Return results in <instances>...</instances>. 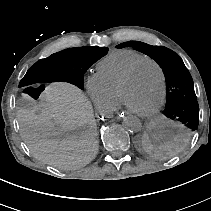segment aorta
<instances>
[{
  "instance_id": "1",
  "label": "aorta",
  "mask_w": 211,
  "mask_h": 211,
  "mask_svg": "<svg viewBox=\"0 0 211 211\" xmlns=\"http://www.w3.org/2000/svg\"><path fill=\"white\" fill-rule=\"evenodd\" d=\"M122 124L130 132H138L142 128L140 119L133 115L125 116Z\"/></svg>"
}]
</instances>
